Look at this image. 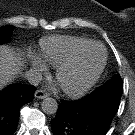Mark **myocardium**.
<instances>
[{"mask_svg": "<svg viewBox=\"0 0 135 135\" xmlns=\"http://www.w3.org/2000/svg\"><path fill=\"white\" fill-rule=\"evenodd\" d=\"M92 46H100L103 49L104 58H103V62L101 64V66L96 70V72L93 75L88 77L80 85H78L76 87H68V86L63 85L61 82V77H62L63 73L66 70L71 69L73 66H75L78 63V61L81 59L83 54ZM107 58H108V53H107L105 46L100 42L93 41L92 43H89V44L85 45L84 47H82L81 49H79L70 58L66 59L65 61H63L59 65H57L56 72H55L56 79L59 81L63 91L66 94H68L70 96H79V95L83 94L84 92H86L90 87H92L97 82V80L100 78L101 74L103 73V71L105 69Z\"/></svg>", "mask_w": 135, "mask_h": 135, "instance_id": "obj_1", "label": "myocardium"}]
</instances>
